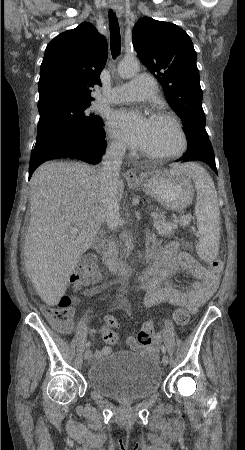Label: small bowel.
Here are the masks:
<instances>
[{
  "label": "small bowel",
  "mask_w": 245,
  "mask_h": 450,
  "mask_svg": "<svg viewBox=\"0 0 245 450\" xmlns=\"http://www.w3.org/2000/svg\"><path fill=\"white\" fill-rule=\"evenodd\" d=\"M146 253L150 264L137 281V290L145 292L144 306L165 302L183 306L190 313L195 314L218 287L221 269L213 271L211 267L203 268L189 254L181 251V244L177 241H170L160 247L156 237L151 234L147 239ZM181 270L196 279L191 288H181L174 282V276ZM99 290V288H90L84 291V295L91 296ZM115 306L122 307V304ZM116 327L118 322L112 328ZM96 332L91 330L92 334ZM161 341V335L157 333L155 343L160 345ZM127 344L135 347L136 341L130 337ZM111 352L110 346H104L97 354L108 355Z\"/></svg>",
  "instance_id": "obj_1"
}]
</instances>
